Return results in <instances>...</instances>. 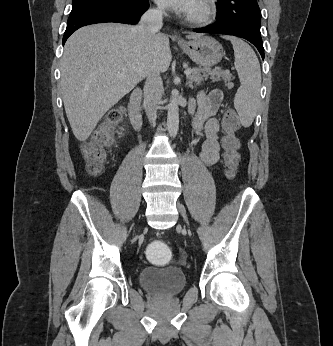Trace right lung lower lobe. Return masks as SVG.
I'll return each instance as SVG.
<instances>
[{
    "label": "right lung lower lobe",
    "mask_w": 333,
    "mask_h": 346,
    "mask_svg": "<svg viewBox=\"0 0 333 346\" xmlns=\"http://www.w3.org/2000/svg\"><path fill=\"white\" fill-rule=\"evenodd\" d=\"M148 7V0H137L127 9H121L115 6H95L78 10L70 14L68 18L67 28L63 36V44L74 31L86 25L106 22L136 24Z\"/></svg>",
    "instance_id": "98d812e1"
}]
</instances>
